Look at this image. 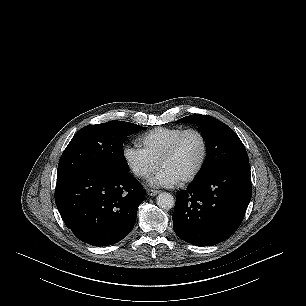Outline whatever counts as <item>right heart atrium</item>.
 I'll return each mask as SVG.
<instances>
[{"mask_svg": "<svg viewBox=\"0 0 306 306\" xmlns=\"http://www.w3.org/2000/svg\"><path fill=\"white\" fill-rule=\"evenodd\" d=\"M123 159L130 172L139 179H145L154 172L158 162L138 144H128L123 148Z\"/></svg>", "mask_w": 306, "mask_h": 306, "instance_id": "d8ad5b80", "label": "right heart atrium"}]
</instances>
